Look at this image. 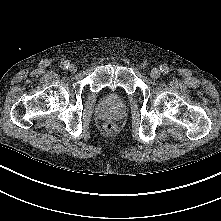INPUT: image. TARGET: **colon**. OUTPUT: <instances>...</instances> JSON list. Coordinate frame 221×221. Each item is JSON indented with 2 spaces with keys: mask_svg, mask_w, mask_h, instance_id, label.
<instances>
[{
  "mask_svg": "<svg viewBox=\"0 0 221 221\" xmlns=\"http://www.w3.org/2000/svg\"><path fill=\"white\" fill-rule=\"evenodd\" d=\"M105 129L107 131H113L115 129V124L114 122L112 121H108L106 124H105Z\"/></svg>",
  "mask_w": 221,
  "mask_h": 221,
  "instance_id": "obj_1",
  "label": "colon"
}]
</instances>
